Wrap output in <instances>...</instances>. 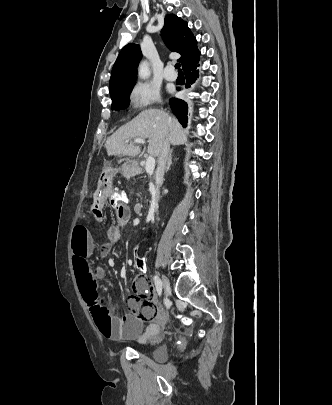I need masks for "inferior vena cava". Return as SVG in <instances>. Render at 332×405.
Instances as JSON below:
<instances>
[{
    "instance_id": "inferior-vena-cava-1",
    "label": "inferior vena cava",
    "mask_w": 332,
    "mask_h": 405,
    "mask_svg": "<svg viewBox=\"0 0 332 405\" xmlns=\"http://www.w3.org/2000/svg\"><path fill=\"white\" fill-rule=\"evenodd\" d=\"M169 122H171V118H169ZM169 150H170V143L168 140H165L158 159V167L156 171V190H155L156 200L159 199V189L164 180V173Z\"/></svg>"
}]
</instances>
